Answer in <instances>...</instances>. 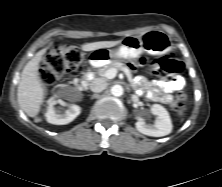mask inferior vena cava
Returning <instances> with one entry per match:
<instances>
[{
    "label": "inferior vena cava",
    "mask_w": 222,
    "mask_h": 187,
    "mask_svg": "<svg viewBox=\"0 0 222 187\" xmlns=\"http://www.w3.org/2000/svg\"><path fill=\"white\" fill-rule=\"evenodd\" d=\"M107 87V83L102 78H96L90 83V89L93 92H102Z\"/></svg>",
    "instance_id": "inferior-vena-cava-1"
}]
</instances>
